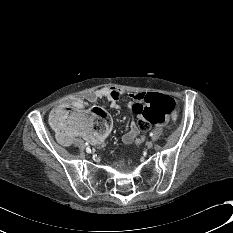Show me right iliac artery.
<instances>
[{"label": "right iliac artery", "mask_w": 233, "mask_h": 233, "mask_svg": "<svg viewBox=\"0 0 233 233\" xmlns=\"http://www.w3.org/2000/svg\"><path fill=\"white\" fill-rule=\"evenodd\" d=\"M86 145H88L87 143H86ZM91 152V149L89 148V147H87V152Z\"/></svg>", "instance_id": "82829eb1"}]
</instances>
